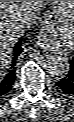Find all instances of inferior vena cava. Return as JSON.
I'll list each match as a JSON object with an SVG mask.
<instances>
[{
    "mask_svg": "<svg viewBox=\"0 0 74 122\" xmlns=\"http://www.w3.org/2000/svg\"><path fill=\"white\" fill-rule=\"evenodd\" d=\"M31 21H32L31 18L26 19V21H23V23L20 27L28 29L30 27V25L32 24Z\"/></svg>",
    "mask_w": 74,
    "mask_h": 122,
    "instance_id": "obj_1",
    "label": "inferior vena cava"
}]
</instances>
